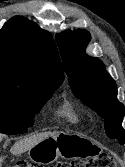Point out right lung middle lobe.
<instances>
[{
	"instance_id": "obj_1",
	"label": "right lung middle lobe",
	"mask_w": 125,
	"mask_h": 167,
	"mask_svg": "<svg viewBox=\"0 0 125 167\" xmlns=\"http://www.w3.org/2000/svg\"><path fill=\"white\" fill-rule=\"evenodd\" d=\"M59 86L30 95L0 92V132L19 134L34 124L35 113L52 97Z\"/></svg>"
}]
</instances>
